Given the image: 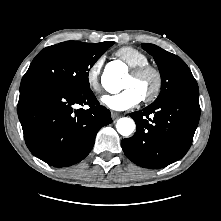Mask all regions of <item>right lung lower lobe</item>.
I'll list each match as a JSON object with an SVG mask.
<instances>
[{"mask_svg":"<svg viewBox=\"0 0 221 221\" xmlns=\"http://www.w3.org/2000/svg\"><path fill=\"white\" fill-rule=\"evenodd\" d=\"M89 105L75 110V105ZM18 117L27 147L54 167L71 166L91 151L97 132L112 122L90 89L47 81L21 82Z\"/></svg>","mask_w":221,"mask_h":221,"instance_id":"98d812e1","label":"right lung lower lobe"}]
</instances>
